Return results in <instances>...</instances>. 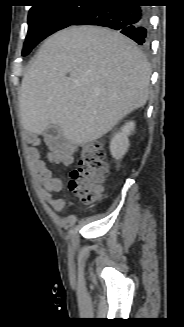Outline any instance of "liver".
I'll list each match as a JSON object with an SVG mask.
<instances>
[{
    "mask_svg": "<svg viewBox=\"0 0 184 327\" xmlns=\"http://www.w3.org/2000/svg\"><path fill=\"white\" fill-rule=\"evenodd\" d=\"M151 68L134 41L94 26L69 27L50 36L24 75L19 106L24 129L41 134L58 126L84 145L143 107Z\"/></svg>",
    "mask_w": 184,
    "mask_h": 327,
    "instance_id": "1",
    "label": "liver"
}]
</instances>
